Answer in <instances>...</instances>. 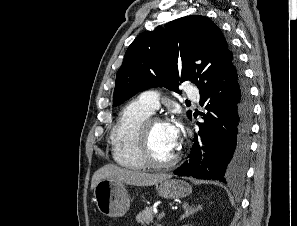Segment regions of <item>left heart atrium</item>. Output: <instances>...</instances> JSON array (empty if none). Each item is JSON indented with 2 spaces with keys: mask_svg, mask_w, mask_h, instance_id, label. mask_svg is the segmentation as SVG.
Wrapping results in <instances>:
<instances>
[{
  "mask_svg": "<svg viewBox=\"0 0 297 226\" xmlns=\"http://www.w3.org/2000/svg\"><path fill=\"white\" fill-rule=\"evenodd\" d=\"M171 141L174 146L178 147L182 137V128L179 122L173 121L167 123Z\"/></svg>",
  "mask_w": 297,
  "mask_h": 226,
  "instance_id": "39dd6f15",
  "label": "left heart atrium"
}]
</instances>
